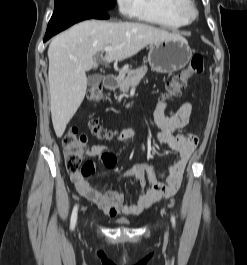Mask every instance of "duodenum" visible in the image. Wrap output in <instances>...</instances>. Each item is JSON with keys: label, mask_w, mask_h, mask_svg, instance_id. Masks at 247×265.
Returning <instances> with one entry per match:
<instances>
[{"label": "duodenum", "mask_w": 247, "mask_h": 265, "mask_svg": "<svg viewBox=\"0 0 247 265\" xmlns=\"http://www.w3.org/2000/svg\"><path fill=\"white\" fill-rule=\"evenodd\" d=\"M117 85V78L114 75L108 74L104 78V86L106 89H114Z\"/></svg>", "instance_id": "duodenum-1"}]
</instances>
